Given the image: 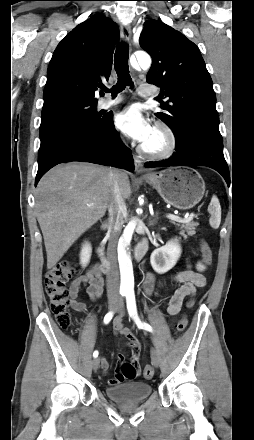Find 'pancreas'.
<instances>
[{"label": "pancreas", "mask_w": 254, "mask_h": 440, "mask_svg": "<svg viewBox=\"0 0 254 440\" xmlns=\"http://www.w3.org/2000/svg\"><path fill=\"white\" fill-rule=\"evenodd\" d=\"M176 226L180 229V235L184 238L188 236H192L195 234V229L199 225L197 222L188 221V222H181V223H174ZM187 233V235L185 234Z\"/></svg>", "instance_id": "obj_1"}]
</instances>
